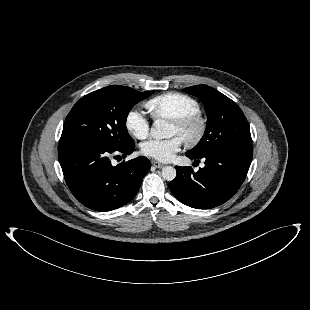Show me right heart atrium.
Listing matches in <instances>:
<instances>
[{
    "label": "right heart atrium",
    "mask_w": 310,
    "mask_h": 310,
    "mask_svg": "<svg viewBox=\"0 0 310 310\" xmlns=\"http://www.w3.org/2000/svg\"><path fill=\"white\" fill-rule=\"evenodd\" d=\"M125 127L135 138L145 139L149 134L150 123L140 110L132 108L126 115Z\"/></svg>",
    "instance_id": "right-heart-atrium-1"
}]
</instances>
